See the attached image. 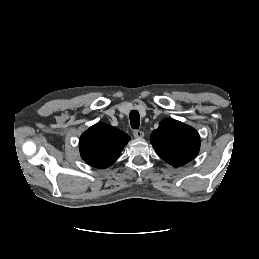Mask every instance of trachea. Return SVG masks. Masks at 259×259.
Listing matches in <instances>:
<instances>
[{"label":"trachea","instance_id":"obj_1","mask_svg":"<svg viewBox=\"0 0 259 259\" xmlns=\"http://www.w3.org/2000/svg\"><path fill=\"white\" fill-rule=\"evenodd\" d=\"M130 124L133 129H138L140 124L139 112L132 110L130 112Z\"/></svg>","mask_w":259,"mask_h":259}]
</instances>
